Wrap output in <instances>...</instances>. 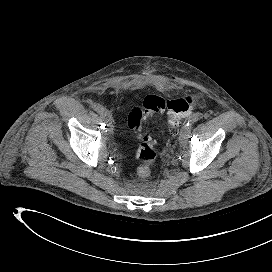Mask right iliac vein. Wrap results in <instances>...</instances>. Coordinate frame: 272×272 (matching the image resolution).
<instances>
[{
	"instance_id": "1",
	"label": "right iliac vein",
	"mask_w": 272,
	"mask_h": 272,
	"mask_svg": "<svg viewBox=\"0 0 272 272\" xmlns=\"http://www.w3.org/2000/svg\"><path fill=\"white\" fill-rule=\"evenodd\" d=\"M101 114V116L103 117V118H105L106 119V122H107V124H108V126L110 127V129H109V132H112V121H111V118H110V115H109V113H108V111H106L105 109H104V111L102 112V113H100Z\"/></svg>"
}]
</instances>
